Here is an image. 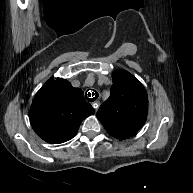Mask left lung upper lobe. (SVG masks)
I'll list each match as a JSON object with an SVG mask.
<instances>
[{"label": "left lung upper lobe", "mask_w": 193, "mask_h": 193, "mask_svg": "<svg viewBox=\"0 0 193 193\" xmlns=\"http://www.w3.org/2000/svg\"><path fill=\"white\" fill-rule=\"evenodd\" d=\"M109 99L97 112L107 132L117 139H128L144 125L148 110V97L142 83L123 69L112 73Z\"/></svg>", "instance_id": "5c2ea615"}]
</instances>
